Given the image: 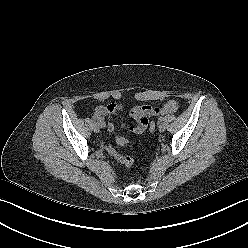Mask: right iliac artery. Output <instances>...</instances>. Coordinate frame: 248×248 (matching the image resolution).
<instances>
[{
  "mask_svg": "<svg viewBox=\"0 0 248 248\" xmlns=\"http://www.w3.org/2000/svg\"><path fill=\"white\" fill-rule=\"evenodd\" d=\"M96 120H97V119H96L95 117H92V118H91V121L94 122V123L96 122Z\"/></svg>",
  "mask_w": 248,
  "mask_h": 248,
  "instance_id": "82829eb1",
  "label": "right iliac artery"
}]
</instances>
